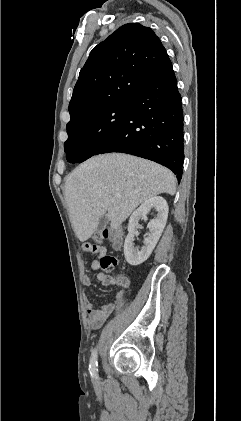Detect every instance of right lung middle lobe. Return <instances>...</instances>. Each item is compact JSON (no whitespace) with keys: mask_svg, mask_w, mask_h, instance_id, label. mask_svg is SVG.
Returning <instances> with one entry per match:
<instances>
[{"mask_svg":"<svg viewBox=\"0 0 241 421\" xmlns=\"http://www.w3.org/2000/svg\"><path fill=\"white\" fill-rule=\"evenodd\" d=\"M128 100L96 110L66 127L64 144L70 163H81L96 152L120 129L125 121Z\"/></svg>","mask_w":241,"mask_h":421,"instance_id":"obj_1","label":"right lung middle lobe"}]
</instances>
